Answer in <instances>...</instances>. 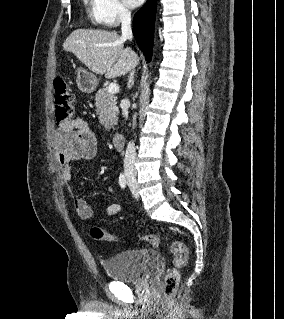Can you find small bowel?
I'll use <instances>...</instances> for the list:
<instances>
[{
    "mask_svg": "<svg viewBox=\"0 0 284 319\" xmlns=\"http://www.w3.org/2000/svg\"><path fill=\"white\" fill-rule=\"evenodd\" d=\"M55 145L62 180L70 186L72 184V162L90 160L96 156L98 152L96 136L85 120L75 118L57 127ZM74 208L83 220H89L94 216L92 207L82 198H77L74 201ZM119 211L120 206L117 203H112L107 207L106 214L112 217Z\"/></svg>",
    "mask_w": 284,
    "mask_h": 319,
    "instance_id": "small-bowel-1",
    "label": "small bowel"
}]
</instances>
